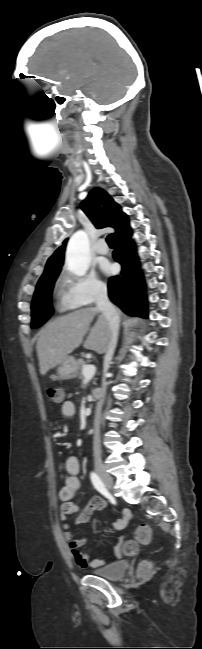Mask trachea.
<instances>
[{"label":"trachea","mask_w":202,"mask_h":649,"mask_svg":"<svg viewBox=\"0 0 202 649\" xmlns=\"http://www.w3.org/2000/svg\"><path fill=\"white\" fill-rule=\"evenodd\" d=\"M106 241H107L108 245H113V237H112V235H108L107 238H106Z\"/></svg>","instance_id":"trachea-1"}]
</instances>
